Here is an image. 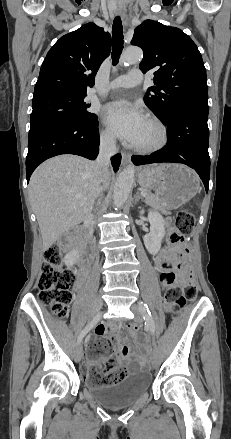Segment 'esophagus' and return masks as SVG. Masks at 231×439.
Instances as JSON below:
<instances>
[{"mask_svg":"<svg viewBox=\"0 0 231 439\" xmlns=\"http://www.w3.org/2000/svg\"><path fill=\"white\" fill-rule=\"evenodd\" d=\"M117 16H123L124 15V11L122 7H118L115 11ZM131 158V155L129 153L123 152L122 153V164L126 165L129 163Z\"/></svg>","mask_w":231,"mask_h":439,"instance_id":"obj_1","label":"esophagus"}]
</instances>
